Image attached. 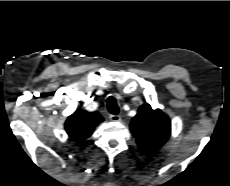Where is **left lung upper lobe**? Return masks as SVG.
<instances>
[{"label":"left lung upper lobe","instance_id":"obj_1","mask_svg":"<svg viewBox=\"0 0 230 186\" xmlns=\"http://www.w3.org/2000/svg\"><path fill=\"white\" fill-rule=\"evenodd\" d=\"M130 129L141 152L148 154L166 142L171 125L168 116L161 110H153L149 104H144L133 117Z\"/></svg>","mask_w":230,"mask_h":186}]
</instances>
